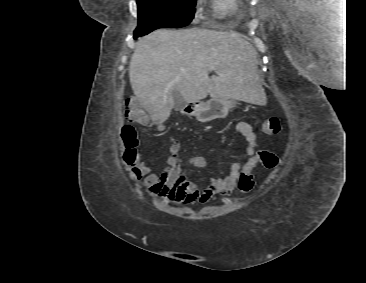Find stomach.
Instances as JSON below:
<instances>
[{
	"mask_svg": "<svg viewBox=\"0 0 366 283\" xmlns=\"http://www.w3.org/2000/svg\"><path fill=\"white\" fill-rule=\"evenodd\" d=\"M236 104V99L229 98H211L206 102L185 103L181 110H191V114L202 123L209 122L217 118H223L228 114L229 109Z\"/></svg>",
	"mask_w": 366,
	"mask_h": 283,
	"instance_id": "1",
	"label": "stomach"
}]
</instances>
